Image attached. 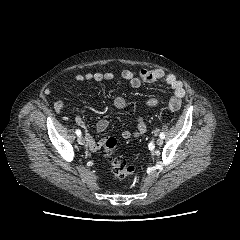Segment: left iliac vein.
<instances>
[{
	"mask_svg": "<svg viewBox=\"0 0 240 240\" xmlns=\"http://www.w3.org/2000/svg\"><path fill=\"white\" fill-rule=\"evenodd\" d=\"M156 144H157L158 146H161V145L163 144V140H162V139H158V140L156 141Z\"/></svg>",
	"mask_w": 240,
	"mask_h": 240,
	"instance_id": "left-iliac-vein-1",
	"label": "left iliac vein"
}]
</instances>
